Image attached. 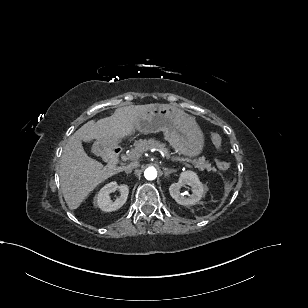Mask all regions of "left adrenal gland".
<instances>
[{
	"instance_id": "left-adrenal-gland-1",
	"label": "left adrenal gland",
	"mask_w": 308,
	"mask_h": 308,
	"mask_svg": "<svg viewBox=\"0 0 308 308\" xmlns=\"http://www.w3.org/2000/svg\"><path fill=\"white\" fill-rule=\"evenodd\" d=\"M163 170H164V175H165V176H168V175H170L171 173L176 172L175 169L163 168Z\"/></svg>"
}]
</instances>
